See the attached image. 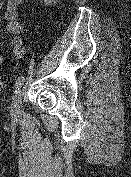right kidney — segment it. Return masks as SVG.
Instances as JSON below:
<instances>
[{
	"label": "right kidney",
	"mask_w": 131,
	"mask_h": 177,
	"mask_svg": "<svg viewBox=\"0 0 131 177\" xmlns=\"http://www.w3.org/2000/svg\"><path fill=\"white\" fill-rule=\"evenodd\" d=\"M55 1H57V0H44V3H45V5H49V4H51L52 2H55Z\"/></svg>",
	"instance_id": "ca27d5eb"
}]
</instances>
